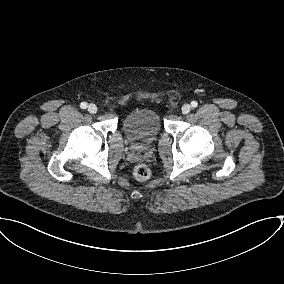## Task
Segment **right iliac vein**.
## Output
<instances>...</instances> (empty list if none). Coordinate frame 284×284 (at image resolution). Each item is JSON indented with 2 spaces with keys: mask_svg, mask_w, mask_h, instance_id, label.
<instances>
[{
  "mask_svg": "<svg viewBox=\"0 0 284 284\" xmlns=\"http://www.w3.org/2000/svg\"><path fill=\"white\" fill-rule=\"evenodd\" d=\"M87 110L89 113L95 114L97 112V106L95 104H89Z\"/></svg>",
  "mask_w": 284,
  "mask_h": 284,
  "instance_id": "1",
  "label": "right iliac vein"
}]
</instances>
